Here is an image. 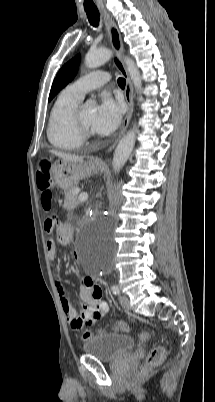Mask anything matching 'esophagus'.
<instances>
[{
    "instance_id": "1",
    "label": "esophagus",
    "mask_w": 215,
    "mask_h": 402,
    "mask_svg": "<svg viewBox=\"0 0 215 402\" xmlns=\"http://www.w3.org/2000/svg\"><path fill=\"white\" fill-rule=\"evenodd\" d=\"M100 12L108 27V31L110 34V40H111V44H112V48H113V52H114V57H113L114 63L116 65L117 69L119 70V72L121 73V75L126 80L125 100L128 105V111H127V114L123 121L121 133H120L118 139L114 142V144L108 149V152H111L114 149L119 138L124 134V132L126 131L128 125H129V122H130V119L132 116V112H133V87H132V83H131L129 74L127 72L126 66L121 57L123 50H124L121 34H120L117 26L115 25L114 21L110 17V15L105 10H101ZM100 160H101V158H98V159H96L95 162L98 164V163H100Z\"/></svg>"
}]
</instances>
